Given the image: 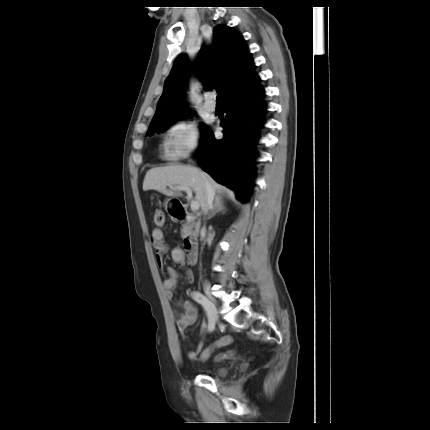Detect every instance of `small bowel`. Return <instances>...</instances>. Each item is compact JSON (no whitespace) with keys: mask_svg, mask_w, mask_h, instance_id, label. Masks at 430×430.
Masks as SVG:
<instances>
[{"mask_svg":"<svg viewBox=\"0 0 430 430\" xmlns=\"http://www.w3.org/2000/svg\"><path fill=\"white\" fill-rule=\"evenodd\" d=\"M151 241L156 250V264L158 268L162 269L164 267V255L169 251V248L164 240L163 231L160 228H154L151 234ZM171 258L175 263L182 265L184 263V252L182 249L178 247H174L170 251ZM167 278L163 281V287L166 292V296L168 299H173L174 291L176 289V285L179 279V273L174 267L167 268ZM185 278L189 283L194 281V274L191 270L185 271ZM177 305L182 308V312L179 313L176 325L180 331H184L189 326L195 323L198 317V309L195 304L189 300L178 301ZM208 332V324H205L201 328V336L202 339L197 344L195 350L190 351L188 353V358L190 360H194L198 357L199 354H202L204 349V341L203 337Z\"/></svg>","mask_w":430,"mask_h":430,"instance_id":"1","label":"small bowel"}]
</instances>
